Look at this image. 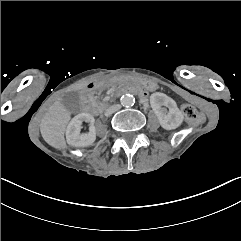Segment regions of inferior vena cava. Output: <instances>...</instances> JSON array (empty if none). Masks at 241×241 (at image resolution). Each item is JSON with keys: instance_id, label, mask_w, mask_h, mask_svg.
Segmentation results:
<instances>
[{"instance_id": "602c4592", "label": "inferior vena cava", "mask_w": 241, "mask_h": 241, "mask_svg": "<svg viewBox=\"0 0 241 241\" xmlns=\"http://www.w3.org/2000/svg\"><path fill=\"white\" fill-rule=\"evenodd\" d=\"M120 108H121V106L119 104L112 105L105 110L104 114H105V116H110L113 113H115L116 111H118Z\"/></svg>"}]
</instances>
